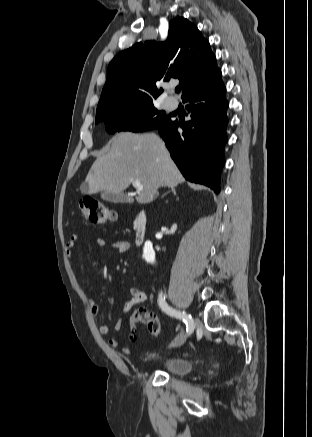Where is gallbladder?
Here are the masks:
<instances>
[{
	"instance_id": "1",
	"label": "gallbladder",
	"mask_w": 312,
	"mask_h": 437,
	"mask_svg": "<svg viewBox=\"0 0 312 437\" xmlns=\"http://www.w3.org/2000/svg\"><path fill=\"white\" fill-rule=\"evenodd\" d=\"M101 198L103 200L114 202V203H124V202H132V196H125L123 194H116L112 192H103L101 194Z\"/></svg>"
}]
</instances>
